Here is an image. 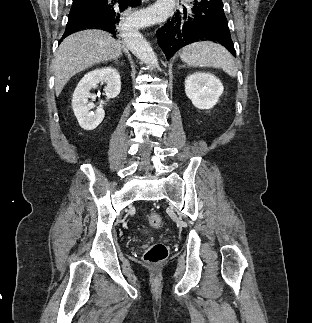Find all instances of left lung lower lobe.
I'll use <instances>...</instances> for the list:
<instances>
[{
	"mask_svg": "<svg viewBox=\"0 0 312 323\" xmlns=\"http://www.w3.org/2000/svg\"><path fill=\"white\" fill-rule=\"evenodd\" d=\"M157 37L167 59L181 47L205 40L222 44L236 56L222 0H193L158 30Z\"/></svg>",
	"mask_w": 312,
	"mask_h": 323,
	"instance_id": "1",
	"label": "left lung lower lobe"
}]
</instances>
